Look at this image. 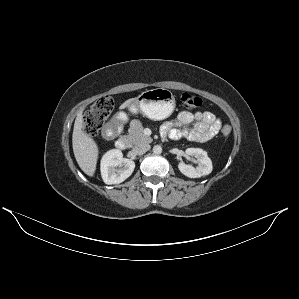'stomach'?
<instances>
[{"label":"stomach","mask_w":299,"mask_h":299,"mask_svg":"<svg viewBox=\"0 0 299 299\" xmlns=\"http://www.w3.org/2000/svg\"><path fill=\"white\" fill-rule=\"evenodd\" d=\"M174 108V95L165 88L147 90L130 105L131 112H140L152 120H163L169 117Z\"/></svg>","instance_id":"1"}]
</instances>
